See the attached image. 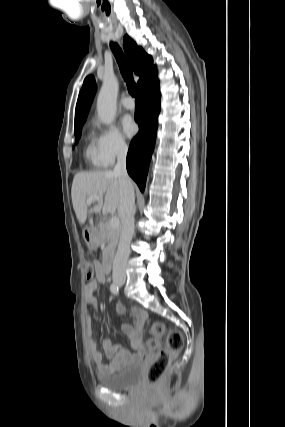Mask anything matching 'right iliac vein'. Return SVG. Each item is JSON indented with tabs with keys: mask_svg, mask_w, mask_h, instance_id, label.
<instances>
[{
	"mask_svg": "<svg viewBox=\"0 0 285 427\" xmlns=\"http://www.w3.org/2000/svg\"><path fill=\"white\" fill-rule=\"evenodd\" d=\"M114 282H115L117 285H123V284L125 283V280H124V279H121V278H118V277H115V278H114Z\"/></svg>",
	"mask_w": 285,
	"mask_h": 427,
	"instance_id": "right-iliac-vein-1",
	"label": "right iliac vein"
}]
</instances>
